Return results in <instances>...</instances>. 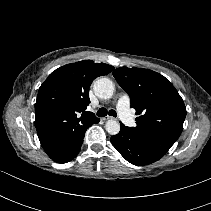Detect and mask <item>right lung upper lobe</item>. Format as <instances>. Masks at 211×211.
Segmentation results:
<instances>
[{"label": "right lung upper lobe", "mask_w": 211, "mask_h": 211, "mask_svg": "<svg viewBox=\"0 0 211 211\" xmlns=\"http://www.w3.org/2000/svg\"><path fill=\"white\" fill-rule=\"evenodd\" d=\"M113 66L83 60L53 71L40 86L35 104V126L48 156L65 149L80 130L99 122L86 111L92 81L110 73Z\"/></svg>", "instance_id": "1"}]
</instances>
